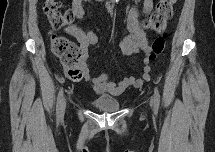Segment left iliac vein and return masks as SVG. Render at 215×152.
<instances>
[{"label":"left iliac vein","instance_id":"obj_1","mask_svg":"<svg viewBox=\"0 0 215 152\" xmlns=\"http://www.w3.org/2000/svg\"><path fill=\"white\" fill-rule=\"evenodd\" d=\"M151 107L153 108V101H151Z\"/></svg>","mask_w":215,"mask_h":152}]
</instances>
